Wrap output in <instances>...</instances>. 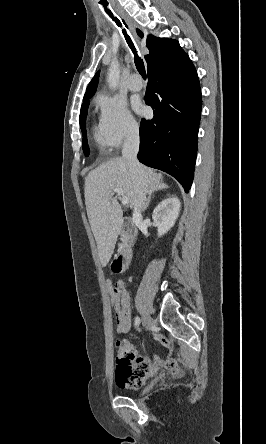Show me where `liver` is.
<instances>
[{"label":"liver","instance_id":"6515ba94","mask_svg":"<svg viewBox=\"0 0 266 444\" xmlns=\"http://www.w3.org/2000/svg\"><path fill=\"white\" fill-rule=\"evenodd\" d=\"M143 178L151 192L162 184V175L141 165ZM137 178L124 158H113L90 171L85 179V204L89 223L95 237L102 267H106L113 254L123 223V213L112 190L120 188L134 207Z\"/></svg>","mask_w":266,"mask_h":444}]
</instances>
